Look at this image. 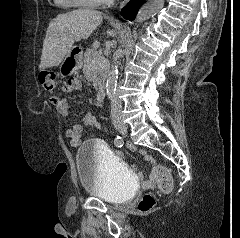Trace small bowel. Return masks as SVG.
<instances>
[{
	"instance_id": "small-bowel-1",
	"label": "small bowel",
	"mask_w": 240,
	"mask_h": 238,
	"mask_svg": "<svg viewBox=\"0 0 240 238\" xmlns=\"http://www.w3.org/2000/svg\"><path fill=\"white\" fill-rule=\"evenodd\" d=\"M80 87V83L77 79H70L67 84L62 87L63 92L70 93L75 89ZM51 103L56 108V110L62 116H68L69 113V104L66 98H62L59 96H52L50 98ZM83 124L85 126H94L97 128H101L97 118L90 112L83 118ZM83 134V126L79 123H75L71 128H69L66 132L67 137L70 139V143L73 147H77L81 144ZM138 147L137 143H125V148L127 151H135V148ZM112 151H115L116 154H124V149H118L117 146L111 147ZM140 156L148 162L153 168L155 167V160L152 156H150L146 151L140 150ZM131 169H136V164H131ZM144 170H138V175H144ZM141 184H144V187H155V182H153L152 172L150 173L148 179H141Z\"/></svg>"
}]
</instances>
